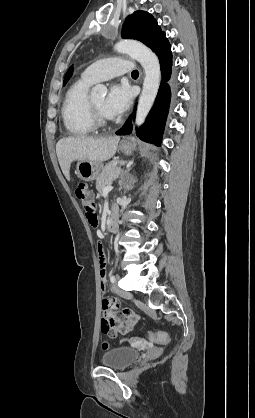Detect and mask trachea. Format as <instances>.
<instances>
[{
    "instance_id": "trachea-1",
    "label": "trachea",
    "mask_w": 255,
    "mask_h": 418,
    "mask_svg": "<svg viewBox=\"0 0 255 418\" xmlns=\"http://www.w3.org/2000/svg\"><path fill=\"white\" fill-rule=\"evenodd\" d=\"M132 75H138L139 74V72H138V70H134V71H132V73H131Z\"/></svg>"
}]
</instances>
